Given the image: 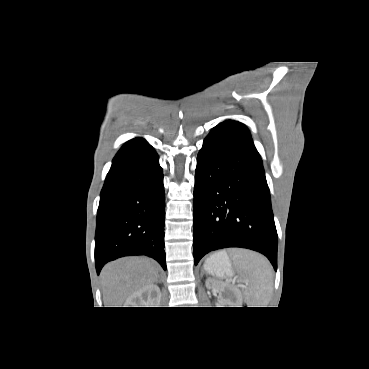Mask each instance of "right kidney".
Returning a JSON list of instances; mask_svg holds the SVG:
<instances>
[{
  "label": "right kidney",
  "instance_id": "1",
  "mask_svg": "<svg viewBox=\"0 0 369 369\" xmlns=\"http://www.w3.org/2000/svg\"><path fill=\"white\" fill-rule=\"evenodd\" d=\"M160 299V288L155 284H151L131 294L126 299L124 307H156Z\"/></svg>",
  "mask_w": 369,
  "mask_h": 369
}]
</instances>
